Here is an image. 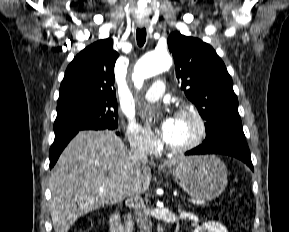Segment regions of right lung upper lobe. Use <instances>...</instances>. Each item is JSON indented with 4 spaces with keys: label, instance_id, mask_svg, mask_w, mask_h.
Instances as JSON below:
<instances>
[{
    "label": "right lung upper lobe",
    "instance_id": "1",
    "mask_svg": "<svg viewBox=\"0 0 289 232\" xmlns=\"http://www.w3.org/2000/svg\"><path fill=\"white\" fill-rule=\"evenodd\" d=\"M118 56L110 38L82 50L66 69L57 105L80 100L117 102L114 66Z\"/></svg>",
    "mask_w": 289,
    "mask_h": 232
}]
</instances>
